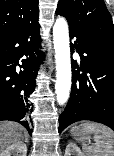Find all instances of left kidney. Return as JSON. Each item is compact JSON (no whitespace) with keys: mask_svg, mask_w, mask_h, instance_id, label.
<instances>
[{"mask_svg":"<svg viewBox=\"0 0 114 156\" xmlns=\"http://www.w3.org/2000/svg\"><path fill=\"white\" fill-rule=\"evenodd\" d=\"M64 156H85L77 145L69 143L65 149Z\"/></svg>","mask_w":114,"mask_h":156,"instance_id":"left-kidney-1","label":"left kidney"}]
</instances>
